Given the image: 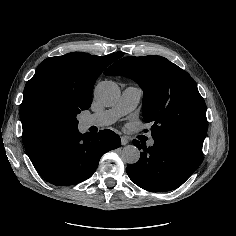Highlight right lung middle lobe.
Masks as SVG:
<instances>
[{
  "instance_id": "dd1d6c3e",
  "label": "right lung middle lobe",
  "mask_w": 236,
  "mask_h": 236,
  "mask_svg": "<svg viewBox=\"0 0 236 236\" xmlns=\"http://www.w3.org/2000/svg\"><path fill=\"white\" fill-rule=\"evenodd\" d=\"M73 93L49 83L33 86L20 107L23 136L33 144L55 141L78 130L76 116L87 110Z\"/></svg>"
}]
</instances>
